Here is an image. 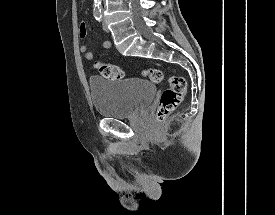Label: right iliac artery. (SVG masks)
Returning <instances> with one entry per match:
<instances>
[{
	"label": "right iliac artery",
	"mask_w": 275,
	"mask_h": 215,
	"mask_svg": "<svg viewBox=\"0 0 275 215\" xmlns=\"http://www.w3.org/2000/svg\"><path fill=\"white\" fill-rule=\"evenodd\" d=\"M93 14H94L95 19L100 22L102 19V12H101V8L99 6L94 8Z\"/></svg>",
	"instance_id": "right-iliac-artery-1"
}]
</instances>
